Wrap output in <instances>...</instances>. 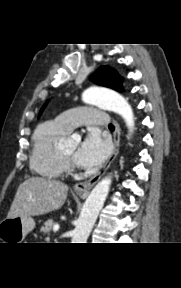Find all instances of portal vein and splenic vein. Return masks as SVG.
Instances as JSON below:
<instances>
[{"label": "portal vein and splenic vein", "instance_id": "portal-vein-and-splenic-vein-1", "mask_svg": "<svg viewBox=\"0 0 181 288\" xmlns=\"http://www.w3.org/2000/svg\"><path fill=\"white\" fill-rule=\"evenodd\" d=\"M58 230H59V225H54V226H53V231L56 232V231H58Z\"/></svg>", "mask_w": 181, "mask_h": 288}]
</instances>
